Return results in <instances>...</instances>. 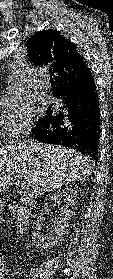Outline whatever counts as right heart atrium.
Returning a JSON list of instances; mask_svg holds the SVG:
<instances>
[{
	"instance_id": "right-heart-atrium-1",
	"label": "right heart atrium",
	"mask_w": 113,
	"mask_h": 279,
	"mask_svg": "<svg viewBox=\"0 0 113 279\" xmlns=\"http://www.w3.org/2000/svg\"><path fill=\"white\" fill-rule=\"evenodd\" d=\"M0 125L6 136L18 139L26 135L33 123V110L26 104L10 97L0 100Z\"/></svg>"
}]
</instances>
